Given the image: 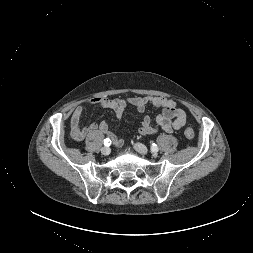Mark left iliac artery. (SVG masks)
<instances>
[{
    "mask_svg": "<svg viewBox=\"0 0 253 253\" xmlns=\"http://www.w3.org/2000/svg\"><path fill=\"white\" fill-rule=\"evenodd\" d=\"M150 149L152 152H157L158 151V146L155 143H152L150 146Z\"/></svg>",
    "mask_w": 253,
    "mask_h": 253,
    "instance_id": "1",
    "label": "left iliac artery"
}]
</instances>
